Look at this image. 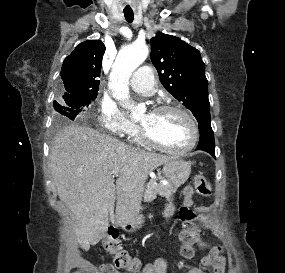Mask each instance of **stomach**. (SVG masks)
Instances as JSON below:
<instances>
[{
  "instance_id": "0dacf381",
  "label": "stomach",
  "mask_w": 285,
  "mask_h": 273,
  "mask_svg": "<svg viewBox=\"0 0 285 273\" xmlns=\"http://www.w3.org/2000/svg\"><path fill=\"white\" fill-rule=\"evenodd\" d=\"M163 174L172 185L174 190L184 184L190 176L191 166L188 162L174 158L163 166ZM133 227H138L141 223V217L130 221Z\"/></svg>"
}]
</instances>
